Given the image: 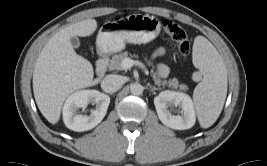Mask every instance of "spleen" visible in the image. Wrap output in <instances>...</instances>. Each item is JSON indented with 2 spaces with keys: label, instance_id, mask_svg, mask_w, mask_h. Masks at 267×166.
Instances as JSON below:
<instances>
[{
  "label": "spleen",
  "instance_id": "obj_1",
  "mask_svg": "<svg viewBox=\"0 0 267 166\" xmlns=\"http://www.w3.org/2000/svg\"><path fill=\"white\" fill-rule=\"evenodd\" d=\"M193 64L202 81L195 87L193 100L200 126L209 128L218 119L227 95V72L216 48L203 36L193 44Z\"/></svg>",
  "mask_w": 267,
  "mask_h": 166
}]
</instances>
